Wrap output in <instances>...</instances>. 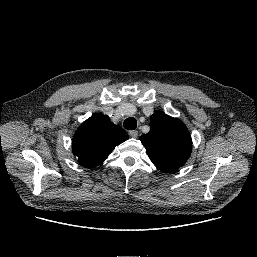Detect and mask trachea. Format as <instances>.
Segmentation results:
<instances>
[{
  "label": "trachea",
  "mask_w": 257,
  "mask_h": 257,
  "mask_svg": "<svg viewBox=\"0 0 257 257\" xmlns=\"http://www.w3.org/2000/svg\"><path fill=\"white\" fill-rule=\"evenodd\" d=\"M123 126L125 129L134 130L137 127V121L135 118L129 117L124 121Z\"/></svg>",
  "instance_id": "trachea-1"
}]
</instances>
